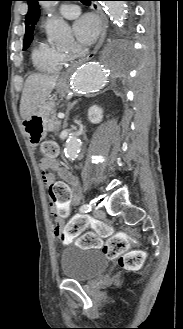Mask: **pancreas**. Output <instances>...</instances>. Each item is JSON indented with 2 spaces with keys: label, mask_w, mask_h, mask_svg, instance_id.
Instances as JSON below:
<instances>
[{
  "label": "pancreas",
  "mask_w": 183,
  "mask_h": 329,
  "mask_svg": "<svg viewBox=\"0 0 183 329\" xmlns=\"http://www.w3.org/2000/svg\"><path fill=\"white\" fill-rule=\"evenodd\" d=\"M47 129L49 132L57 133L61 129V121L57 120L55 115L51 116L48 121Z\"/></svg>",
  "instance_id": "1"
}]
</instances>
